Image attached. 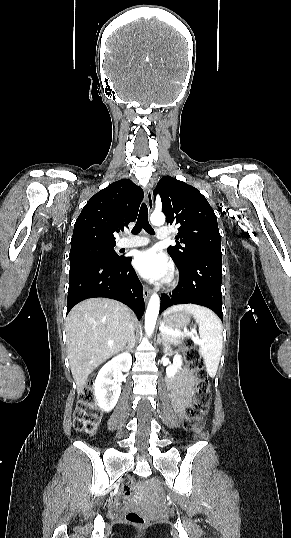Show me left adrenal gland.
Segmentation results:
<instances>
[{
	"label": "left adrenal gland",
	"mask_w": 291,
	"mask_h": 538,
	"mask_svg": "<svg viewBox=\"0 0 291 538\" xmlns=\"http://www.w3.org/2000/svg\"><path fill=\"white\" fill-rule=\"evenodd\" d=\"M162 341H163V337L160 338V336H158L157 342L161 343Z\"/></svg>",
	"instance_id": "a2214340"
}]
</instances>
